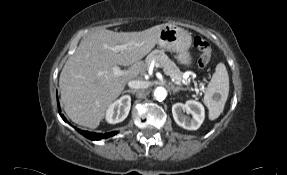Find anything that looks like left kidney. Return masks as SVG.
Returning a JSON list of instances; mask_svg holds the SVG:
<instances>
[{
	"mask_svg": "<svg viewBox=\"0 0 287 175\" xmlns=\"http://www.w3.org/2000/svg\"><path fill=\"white\" fill-rule=\"evenodd\" d=\"M185 111L192 115L191 119L184 115ZM172 114L175 122L188 130H197L205 118L203 105L194 100H188L185 104H174L172 106Z\"/></svg>",
	"mask_w": 287,
	"mask_h": 175,
	"instance_id": "left-kidney-1",
	"label": "left kidney"
}]
</instances>
